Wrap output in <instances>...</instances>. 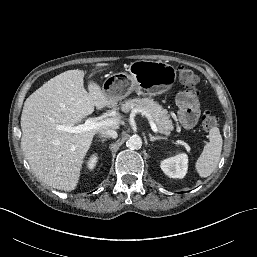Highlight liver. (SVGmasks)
Segmentation results:
<instances>
[{
    "instance_id": "liver-1",
    "label": "liver",
    "mask_w": 257,
    "mask_h": 257,
    "mask_svg": "<svg viewBox=\"0 0 257 257\" xmlns=\"http://www.w3.org/2000/svg\"><path fill=\"white\" fill-rule=\"evenodd\" d=\"M83 78L84 71L78 69L51 78L26 99L22 110L21 148L35 175L57 190L76 188L94 135L119 128L116 122L80 133L56 129L80 123L94 107L101 110L114 105L96 82L90 81L86 91Z\"/></svg>"
}]
</instances>
